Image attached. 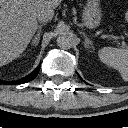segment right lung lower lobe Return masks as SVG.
Masks as SVG:
<instances>
[{
	"mask_svg": "<svg viewBox=\"0 0 128 128\" xmlns=\"http://www.w3.org/2000/svg\"><path fill=\"white\" fill-rule=\"evenodd\" d=\"M39 70H40V65L29 75L27 76L26 78L22 79V80H19V81H16V82H4V81H0L1 84H23V83H26V82H29L31 80H33L37 74L39 73Z\"/></svg>",
	"mask_w": 128,
	"mask_h": 128,
	"instance_id": "obj_1",
	"label": "right lung lower lobe"
}]
</instances>
